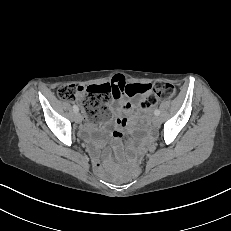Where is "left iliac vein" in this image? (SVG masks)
<instances>
[{
	"mask_svg": "<svg viewBox=\"0 0 231 231\" xmlns=\"http://www.w3.org/2000/svg\"><path fill=\"white\" fill-rule=\"evenodd\" d=\"M151 122H152V124H153L154 126H158V125H160V118H159L158 116L155 115V116L152 118Z\"/></svg>",
	"mask_w": 231,
	"mask_h": 231,
	"instance_id": "4c4485c4",
	"label": "left iliac vein"
}]
</instances>
